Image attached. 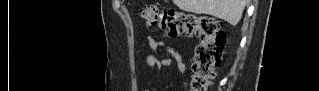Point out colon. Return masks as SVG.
<instances>
[{
    "instance_id": "5ec220e1",
    "label": "colon",
    "mask_w": 319,
    "mask_h": 91,
    "mask_svg": "<svg viewBox=\"0 0 319 91\" xmlns=\"http://www.w3.org/2000/svg\"><path fill=\"white\" fill-rule=\"evenodd\" d=\"M140 17L146 24L162 29L170 37L199 36L201 42L195 48L192 73L186 81V89L210 90L226 42L220 22L208 15L164 9L156 3L145 5L140 10Z\"/></svg>"
}]
</instances>
